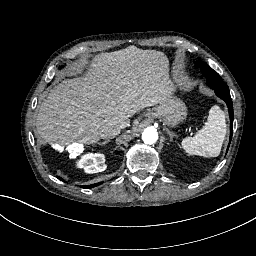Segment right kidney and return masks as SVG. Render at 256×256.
Returning <instances> with one entry per match:
<instances>
[{"mask_svg": "<svg viewBox=\"0 0 256 256\" xmlns=\"http://www.w3.org/2000/svg\"><path fill=\"white\" fill-rule=\"evenodd\" d=\"M79 164L88 173L101 172L106 169L105 156L102 154H87L83 156Z\"/></svg>", "mask_w": 256, "mask_h": 256, "instance_id": "obj_1", "label": "right kidney"}]
</instances>
